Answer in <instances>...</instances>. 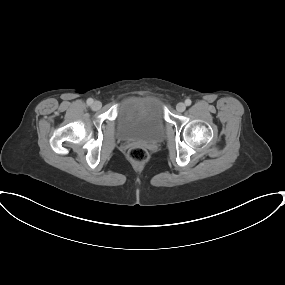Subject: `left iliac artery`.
Instances as JSON below:
<instances>
[{"mask_svg": "<svg viewBox=\"0 0 285 285\" xmlns=\"http://www.w3.org/2000/svg\"><path fill=\"white\" fill-rule=\"evenodd\" d=\"M191 103H192V102H191V100H190V99H186V100H185V104H186V106H190V105H191Z\"/></svg>", "mask_w": 285, "mask_h": 285, "instance_id": "1", "label": "left iliac artery"}]
</instances>
